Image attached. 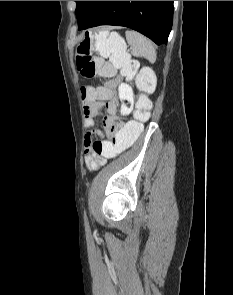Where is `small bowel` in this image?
Wrapping results in <instances>:
<instances>
[{
    "instance_id": "1",
    "label": "small bowel",
    "mask_w": 233,
    "mask_h": 295,
    "mask_svg": "<svg viewBox=\"0 0 233 295\" xmlns=\"http://www.w3.org/2000/svg\"><path fill=\"white\" fill-rule=\"evenodd\" d=\"M84 100V121L87 127L95 126V119L100 114L101 109H105L107 115L103 118L102 124L108 130L111 127L121 128L124 124L117 113L122 118L127 117L133 110L134 95L131 86L126 82L116 83L115 81L107 83L104 92L100 96L85 98ZM94 136L103 137L101 131L88 132L85 137V156L84 163L88 170L96 171L102 167L107 157L95 153L91 147V141Z\"/></svg>"
}]
</instances>
